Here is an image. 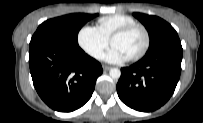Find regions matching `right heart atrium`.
I'll use <instances>...</instances> for the list:
<instances>
[{
    "instance_id": "1",
    "label": "right heart atrium",
    "mask_w": 203,
    "mask_h": 123,
    "mask_svg": "<svg viewBox=\"0 0 203 123\" xmlns=\"http://www.w3.org/2000/svg\"><path fill=\"white\" fill-rule=\"evenodd\" d=\"M77 42L82 50L94 59H100L109 46V40L97 27L91 25H85L79 30Z\"/></svg>"
}]
</instances>
